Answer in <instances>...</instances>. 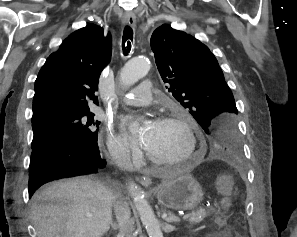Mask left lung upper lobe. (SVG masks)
Instances as JSON below:
<instances>
[{"label":"left lung upper lobe","mask_w":297,"mask_h":237,"mask_svg":"<svg viewBox=\"0 0 297 237\" xmlns=\"http://www.w3.org/2000/svg\"><path fill=\"white\" fill-rule=\"evenodd\" d=\"M155 62L168 91L209 135L208 149L220 157H238L235 100L217 59L198 39L167 24L150 40Z\"/></svg>","instance_id":"obj_1"}]
</instances>
